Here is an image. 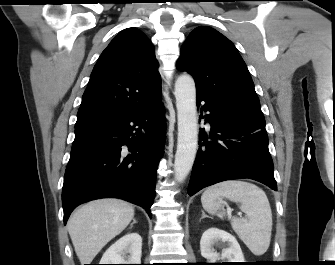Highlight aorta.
Returning a JSON list of instances; mask_svg holds the SVG:
<instances>
[{"mask_svg":"<svg viewBox=\"0 0 335 265\" xmlns=\"http://www.w3.org/2000/svg\"><path fill=\"white\" fill-rule=\"evenodd\" d=\"M178 119L177 151L175 154V179L182 182L192 169L198 147V121L194 79L180 75L175 83Z\"/></svg>","mask_w":335,"mask_h":265,"instance_id":"aorta-1","label":"aorta"}]
</instances>
